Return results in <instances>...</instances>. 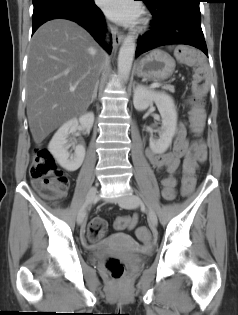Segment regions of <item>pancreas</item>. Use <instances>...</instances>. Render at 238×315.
<instances>
[{"label": "pancreas", "mask_w": 238, "mask_h": 315, "mask_svg": "<svg viewBox=\"0 0 238 315\" xmlns=\"http://www.w3.org/2000/svg\"><path fill=\"white\" fill-rule=\"evenodd\" d=\"M162 89L168 90V91H170V92H172V93L175 92L174 86H172V85H163V86H162Z\"/></svg>", "instance_id": "obj_1"}]
</instances>
